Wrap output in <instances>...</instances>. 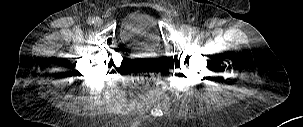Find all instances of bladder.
I'll list each match as a JSON object with an SVG mask.
<instances>
[{
  "instance_id": "obj_1",
  "label": "bladder",
  "mask_w": 303,
  "mask_h": 127,
  "mask_svg": "<svg viewBox=\"0 0 303 127\" xmlns=\"http://www.w3.org/2000/svg\"><path fill=\"white\" fill-rule=\"evenodd\" d=\"M120 37L129 46L158 47L161 44L158 20L147 11L132 10L121 20Z\"/></svg>"
}]
</instances>
